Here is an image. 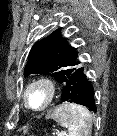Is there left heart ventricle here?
Returning <instances> with one entry per match:
<instances>
[{
    "label": "left heart ventricle",
    "instance_id": "left-heart-ventricle-1",
    "mask_svg": "<svg viewBox=\"0 0 117 136\" xmlns=\"http://www.w3.org/2000/svg\"><path fill=\"white\" fill-rule=\"evenodd\" d=\"M46 100V93L43 88L35 87L28 94V102L34 108L41 107Z\"/></svg>",
    "mask_w": 117,
    "mask_h": 136
}]
</instances>
